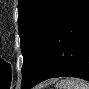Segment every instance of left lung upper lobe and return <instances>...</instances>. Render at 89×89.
<instances>
[{
	"instance_id": "1",
	"label": "left lung upper lobe",
	"mask_w": 89,
	"mask_h": 89,
	"mask_svg": "<svg viewBox=\"0 0 89 89\" xmlns=\"http://www.w3.org/2000/svg\"><path fill=\"white\" fill-rule=\"evenodd\" d=\"M72 0H19L18 24L23 55L22 89L35 76L54 31Z\"/></svg>"
}]
</instances>
